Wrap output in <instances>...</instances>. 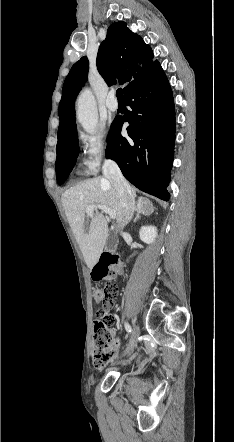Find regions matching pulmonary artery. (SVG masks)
<instances>
[{"instance_id":"1","label":"pulmonary artery","mask_w":234,"mask_h":442,"mask_svg":"<svg viewBox=\"0 0 234 442\" xmlns=\"http://www.w3.org/2000/svg\"><path fill=\"white\" fill-rule=\"evenodd\" d=\"M106 107L109 111L115 112L118 109V103L115 99V93L110 92L106 100Z\"/></svg>"}]
</instances>
